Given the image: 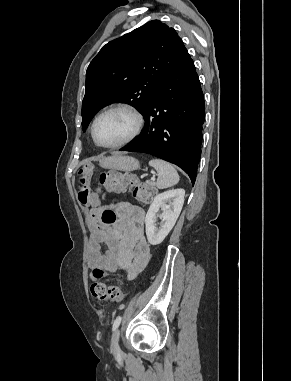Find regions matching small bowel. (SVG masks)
<instances>
[{
	"mask_svg": "<svg viewBox=\"0 0 291 381\" xmlns=\"http://www.w3.org/2000/svg\"><path fill=\"white\" fill-rule=\"evenodd\" d=\"M118 212L119 230L116 235H111L100 223L102 208L88 210L93 233L87 262L90 269L102 267L110 272L124 266L128 270V278L134 279L145 269L151 256L150 245L144 235L146 212L131 204L121 205Z\"/></svg>",
	"mask_w": 291,
	"mask_h": 381,
	"instance_id": "1",
	"label": "small bowel"
}]
</instances>
